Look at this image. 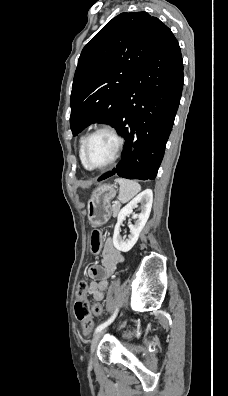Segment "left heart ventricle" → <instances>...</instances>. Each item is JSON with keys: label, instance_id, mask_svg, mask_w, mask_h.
<instances>
[{"label": "left heart ventricle", "instance_id": "left-heart-ventricle-1", "mask_svg": "<svg viewBox=\"0 0 228 396\" xmlns=\"http://www.w3.org/2000/svg\"><path fill=\"white\" fill-rule=\"evenodd\" d=\"M116 142L107 132H100L90 140L87 156L91 165L99 166L107 163L113 156Z\"/></svg>", "mask_w": 228, "mask_h": 396}]
</instances>
